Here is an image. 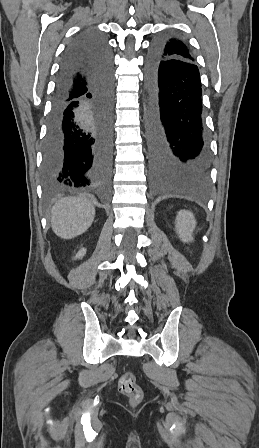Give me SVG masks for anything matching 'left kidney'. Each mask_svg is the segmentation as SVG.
Returning <instances> with one entry per match:
<instances>
[{
	"instance_id": "left-kidney-1",
	"label": "left kidney",
	"mask_w": 259,
	"mask_h": 448,
	"mask_svg": "<svg viewBox=\"0 0 259 448\" xmlns=\"http://www.w3.org/2000/svg\"><path fill=\"white\" fill-rule=\"evenodd\" d=\"M196 220L189 210H180L176 216V232L179 234L182 242H192V234L195 228Z\"/></svg>"
}]
</instances>
